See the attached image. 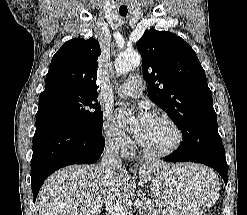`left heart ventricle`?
I'll list each match as a JSON object with an SVG mask.
<instances>
[{"label":"left heart ventricle","instance_id":"b2bd125f","mask_svg":"<svg viewBox=\"0 0 247 215\" xmlns=\"http://www.w3.org/2000/svg\"><path fill=\"white\" fill-rule=\"evenodd\" d=\"M174 138V132L166 123L154 119L138 141L151 151H160L168 148L173 143Z\"/></svg>","mask_w":247,"mask_h":215}]
</instances>
